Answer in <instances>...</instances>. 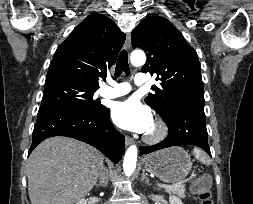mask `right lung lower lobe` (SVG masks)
<instances>
[{"label": "right lung lower lobe", "instance_id": "98d812e1", "mask_svg": "<svg viewBox=\"0 0 253 204\" xmlns=\"http://www.w3.org/2000/svg\"><path fill=\"white\" fill-rule=\"evenodd\" d=\"M109 111L105 106L98 112L70 108L39 109L28 154L46 138L66 136L86 142L115 163L119 162L124 153L125 139L113 127Z\"/></svg>", "mask_w": 253, "mask_h": 204}]
</instances>
